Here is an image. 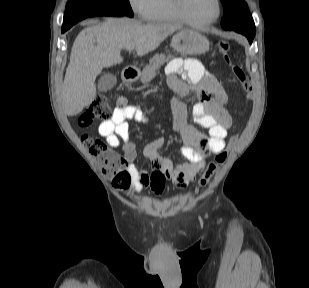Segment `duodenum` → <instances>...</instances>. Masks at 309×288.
<instances>
[{
  "label": "duodenum",
  "mask_w": 309,
  "mask_h": 288,
  "mask_svg": "<svg viewBox=\"0 0 309 288\" xmlns=\"http://www.w3.org/2000/svg\"><path fill=\"white\" fill-rule=\"evenodd\" d=\"M137 71L134 67L129 66L124 68L122 78L125 82H133L136 79Z\"/></svg>",
  "instance_id": "obj_1"
}]
</instances>
